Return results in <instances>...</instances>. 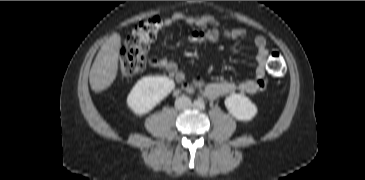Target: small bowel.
Here are the masks:
<instances>
[{
	"label": "small bowel",
	"instance_id": "c3829d8e",
	"mask_svg": "<svg viewBox=\"0 0 365 180\" xmlns=\"http://www.w3.org/2000/svg\"><path fill=\"white\" fill-rule=\"evenodd\" d=\"M178 22H184L196 27L189 35V40L193 43L215 42L220 37L241 39L247 35V31L244 28L224 27L213 16H191L184 13H174L164 19L162 21V34L167 27ZM253 44L256 49L257 62L255 76L252 79L241 82L218 81L205 83L200 79L187 82L185 73L178 68V65L173 60L154 56L149 63L155 68L170 72L183 90L187 92L198 91L210 100H215L232 93L254 95L263 92L267 87L266 65L268 48L266 39L262 35L254 37Z\"/></svg>",
	"mask_w": 365,
	"mask_h": 180
}]
</instances>
